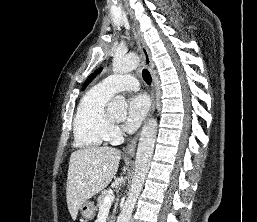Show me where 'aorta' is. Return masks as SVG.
Masks as SVG:
<instances>
[{
    "instance_id": "1",
    "label": "aorta",
    "mask_w": 257,
    "mask_h": 222,
    "mask_svg": "<svg viewBox=\"0 0 257 222\" xmlns=\"http://www.w3.org/2000/svg\"><path fill=\"white\" fill-rule=\"evenodd\" d=\"M138 64L139 57L135 53L124 55L117 51L113 58L112 67L114 72L128 73L134 70ZM126 108L127 103L123 96L114 97L108 105V110L111 112H125ZM157 125V120L152 119L142 128L136 153L134 177L117 222H130L134 206L150 168L157 135Z\"/></svg>"
}]
</instances>
